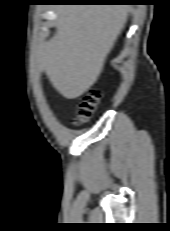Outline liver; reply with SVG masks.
<instances>
[{
    "label": "liver",
    "mask_w": 170,
    "mask_h": 231,
    "mask_svg": "<svg viewBox=\"0 0 170 231\" xmlns=\"http://www.w3.org/2000/svg\"><path fill=\"white\" fill-rule=\"evenodd\" d=\"M55 11L56 33L38 49L37 61L53 87L63 97L75 99L97 81L130 8L65 5Z\"/></svg>",
    "instance_id": "1"
}]
</instances>
